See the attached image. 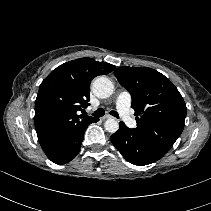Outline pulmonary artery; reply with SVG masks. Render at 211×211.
Masks as SVG:
<instances>
[{"instance_id": "obj_1", "label": "pulmonary artery", "mask_w": 211, "mask_h": 211, "mask_svg": "<svg viewBox=\"0 0 211 211\" xmlns=\"http://www.w3.org/2000/svg\"><path fill=\"white\" fill-rule=\"evenodd\" d=\"M131 95L127 91H122L116 99V109L123 121L130 128H135L137 123L131 114Z\"/></svg>"}]
</instances>
